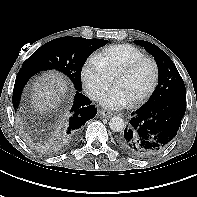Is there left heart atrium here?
Masks as SVG:
<instances>
[{
    "mask_svg": "<svg viewBox=\"0 0 197 197\" xmlns=\"http://www.w3.org/2000/svg\"><path fill=\"white\" fill-rule=\"evenodd\" d=\"M100 102L108 108L119 109L126 107L131 101L121 88L115 86L101 95Z\"/></svg>",
    "mask_w": 197,
    "mask_h": 197,
    "instance_id": "1",
    "label": "left heart atrium"
}]
</instances>
